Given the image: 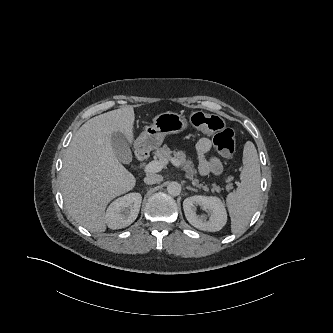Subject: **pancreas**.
I'll use <instances>...</instances> for the list:
<instances>
[{
    "instance_id": "pancreas-1",
    "label": "pancreas",
    "mask_w": 333,
    "mask_h": 333,
    "mask_svg": "<svg viewBox=\"0 0 333 333\" xmlns=\"http://www.w3.org/2000/svg\"><path fill=\"white\" fill-rule=\"evenodd\" d=\"M172 154H173L174 158H177L184 165L183 169L186 172V177L189 178L190 180H192V184L199 188L202 187L203 190L208 191L209 188L207 185L204 186L203 184H200L199 179L194 178V176L197 175V170L194 168L192 161L187 159L184 151H171L167 146H163L156 150V152L154 153V158L167 164L168 161L171 160ZM231 189H232V185L228 184L226 186V190L229 191ZM211 190L219 192L221 190V188L217 184L214 183L211 186Z\"/></svg>"
}]
</instances>
